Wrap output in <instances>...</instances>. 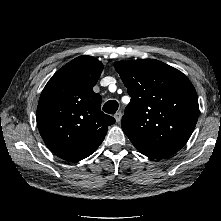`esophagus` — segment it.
<instances>
[{"instance_id": "obj_1", "label": "esophagus", "mask_w": 221, "mask_h": 221, "mask_svg": "<svg viewBox=\"0 0 221 221\" xmlns=\"http://www.w3.org/2000/svg\"><path fill=\"white\" fill-rule=\"evenodd\" d=\"M114 118H115L116 122L119 123L121 121V118H122V113L121 112H117L114 115Z\"/></svg>"}]
</instances>
